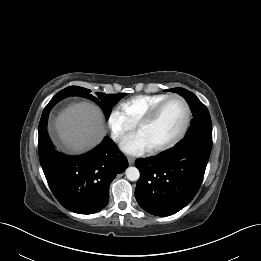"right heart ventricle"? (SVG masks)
<instances>
[{
    "instance_id": "obj_1",
    "label": "right heart ventricle",
    "mask_w": 261,
    "mask_h": 261,
    "mask_svg": "<svg viewBox=\"0 0 261 261\" xmlns=\"http://www.w3.org/2000/svg\"><path fill=\"white\" fill-rule=\"evenodd\" d=\"M169 94L137 95L121 103L123 113L136 125L155 105L167 98Z\"/></svg>"
}]
</instances>
